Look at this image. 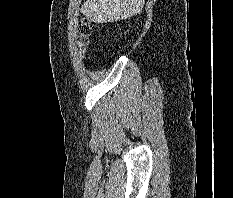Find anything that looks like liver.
<instances>
[{"mask_svg":"<svg viewBox=\"0 0 233 198\" xmlns=\"http://www.w3.org/2000/svg\"><path fill=\"white\" fill-rule=\"evenodd\" d=\"M145 0H86L82 13L94 23L124 20L141 12Z\"/></svg>","mask_w":233,"mask_h":198,"instance_id":"liver-1","label":"liver"}]
</instances>
